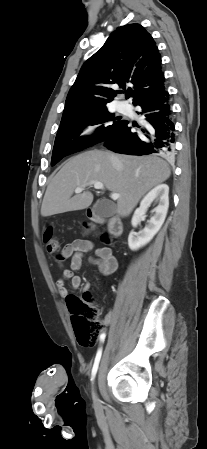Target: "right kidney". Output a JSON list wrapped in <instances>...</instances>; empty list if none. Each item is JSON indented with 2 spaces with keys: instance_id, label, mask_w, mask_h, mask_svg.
Here are the masks:
<instances>
[{
  "instance_id": "1",
  "label": "right kidney",
  "mask_w": 207,
  "mask_h": 449,
  "mask_svg": "<svg viewBox=\"0 0 207 449\" xmlns=\"http://www.w3.org/2000/svg\"><path fill=\"white\" fill-rule=\"evenodd\" d=\"M169 187L160 184L152 189L141 201L140 207L135 211L131 224L137 227L145 217V213L152 202L158 203L155 215L150 218L148 225L140 232L132 231L128 237L129 248L133 251L149 243L162 227L169 207Z\"/></svg>"
}]
</instances>
